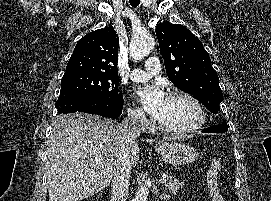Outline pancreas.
<instances>
[{"mask_svg":"<svg viewBox=\"0 0 271 201\" xmlns=\"http://www.w3.org/2000/svg\"><path fill=\"white\" fill-rule=\"evenodd\" d=\"M183 186H184L183 182L171 176L169 177V180L166 184V187L168 188V190H170L173 193L178 192V190L183 188Z\"/></svg>","mask_w":271,"mask_h":201,"instance_id":"pancreas-1","label":"pancreas"}]
</instances>
